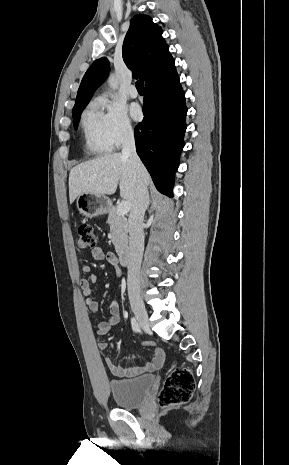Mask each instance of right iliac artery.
I'll return each instance as SVG.
<instances>
[{
    "label": "right iliac artery",
    "mask_w": 289,
    "mask_h": 465,
    "mask_svg": "<svg viewBox=\"0 0 289 465\" xmlns=\"http://www.w3.org/2000/svg\"><path fill=\"white\" fill-rule=\"evenodd\" d=\"M131 325H132V329H133L134 332L139 331V325H138V322H137L135 317L131 318Z\"/></svg>",
    "instance_id": "82829eb1"
}]
</instances>
